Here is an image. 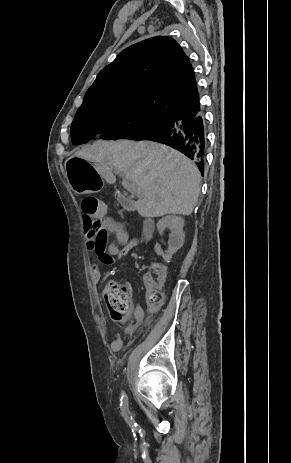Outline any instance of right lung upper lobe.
<instances>
[{
    "label": "right lung upper lobe",
    "instance_id": "right-lung-upper-lobe-1",
    "mask_svg": "<svg viewBox=\"0 0 291 463\" xmlns=\"http://www.w3.org/2000/svg\"><path fill=\"white\" fill-rule=\"evenodd\" d=\"M115 103L164 116L199 114L194 70L180 45L156 36L126 48L99 72L79 109Z\"/></svg>",
    "mask_w": 291,
    "mask_h": 463
}]
</instances>
